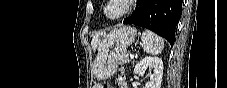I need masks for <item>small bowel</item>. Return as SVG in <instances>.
Wrapping results in <instances>:
<instances>
[{
	"instance_id": "small-bowel-1",
	"label": "small bowel",
	"mask_w": 227,
	"mask_h": 88,
	"mask_svg": "<svg viewBox=\"0 0 227 88\" xmlns=\"http://www.w3.org/2000/svg\"><path fill=\"white\" fill-rule=\"evenodd\" d=\"M117 87L119 88H128V82H127V78L124 74H121L118 78H117Z\"/></svg>"
}]
</instances>
